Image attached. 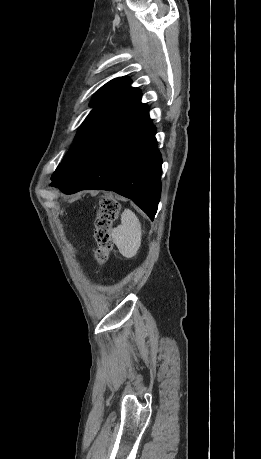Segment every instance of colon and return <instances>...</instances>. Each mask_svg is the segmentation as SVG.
Here are the masks:
<instances>
[{
    "mask_svg": "<svg viewBox=\"0 0 261 459\" xmlns=\"http://www.w3.org/2000/svg\"><path fill=\"white\" fill-rule=\"evenodd\" d=\"M120 204L112 195H104L100 201L98 214L95 219L94 237L96 249L94 260L97 267H101L107 261L112 248V230L119 216Z\"/></svg>",
    "mask_w": 261,
    "mask_h": 459,
    "instance_id": "1",
    "label": "colon"
}]
</instances>
